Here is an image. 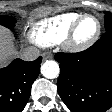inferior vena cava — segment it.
<instances>
[{"mask_svg": "<svg viewBox=\"0 0 112 112\" xmlns=\"http://www.w3.org/2000/svg\"><path fill=\"white\" fill-rule=\"evenodd\" d=\"M40 55V52L35 47H29L24 49L21 54L20 58L25 61H33L36 60Z\"/></svg>", "mask_w": 112, "mask_h": 112, "instance_id": "inferior-vena-cava-1", "label": "inferior vena cava"}]
</instances>
